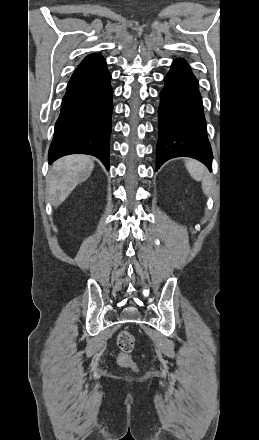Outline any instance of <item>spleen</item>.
<instances>
[{"mask_svg":"<svg viewBox=\"0 0 259 440\" xmlns=\"http://www.w3.org/2000/svg\"><path fill=\"white\" fill-rule=\"evenodd\" d=\"M185 165L192 178L202 182V189L205 195H209L212 182L204 165L195 160H188L185 162Z\"/></svg>","mask_w":259,"mask_h":440,"instance_id":"spleen-1","label":"spleen"}]
</instances>
